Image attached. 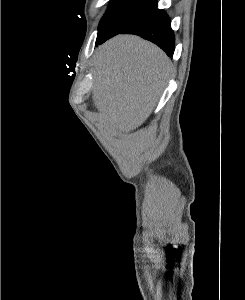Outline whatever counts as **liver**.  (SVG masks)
<instances>
[{"label":"liver","mask_w":245,"mask_h":300,"mask_svg":"<svg viewBox=\"0 0 245 300\" xmlns=\"http://www.w3.org/2000/svg\"><path fill=\"white\" fill-rule=\"evenodd\" d=\"M171 62L156 45L118 35L99 48L93 100L111 132L141 126L155 108L170 76Z\"/></svg>","instance_id":"6515ba94"}]
</instances>
